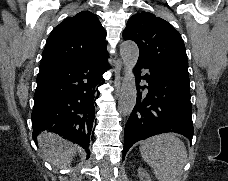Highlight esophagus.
<instances>
[{
  "mask_svg": "<svg viewBox=\"0 0 228 181\" xmlns=\"http://www.w3.org/2000/svg\"><path fill=\"white\" fill-rule=\"evenodd\" d=\"M126 73H127V70L125 69V70H124V74H126Z\"/></svg>",
  "mask_w": 228,
  "mask_h": 181,
  "instance_id": "obj_1",
  "label": "esophagus"
}]
</instances>
